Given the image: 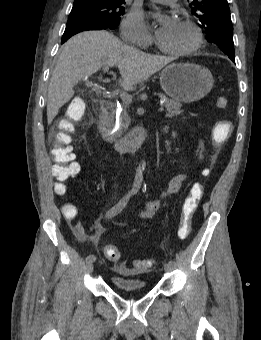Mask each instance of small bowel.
Listing matches in <instances>:
<instances>
[{
	"label": "small bowel",
	"mask_w": 261,
	"mask_h": 340,
	"mask_svg": "<svg viewBox=\"0 0 261 340\" xmlns=\"http://www.w3.org/2000/svg\"><path fill=\"white\" fill-rule=\"evenodd\" d=\"M170 135H171L170 140L166 141V154H167L168 158L170 159V161H174L173 149L171 147V139L174 138L175 134L171 133ZM184 180H185V176L183 174H179V175H176L175 177H173L169 181L167 188L162 192L161 197L159 199L146 203L144 211L141 212V216L142 217L151 216L159 208L161 199L168 196V195L177 193L180 190ZM73 210H74V212L72 214H66L63 211L65 217L70 221H73L78 217V211L74 206H73ZM72 230H73L75 236L79 240H81V241L89 240L91 242H97L103 236V234L105 233V228L98 225L97 228H96V231L92 235H88L85 231L84 226L82 225V223L79 220H77L75 223H73ZM119 270L123 271V269H119Z\"/></svg>",
	"instance_id": "obj_1"
}]
</instances>
